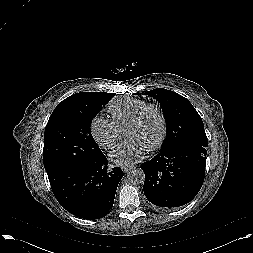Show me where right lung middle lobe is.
<instances>
[{
	"mask_svg": "<svg viewBox=\"0 0 253 253\" xmlns=\"http://www.w3.org/2000/svg\"><path fill=\"white\" fill-rule=\"evenodd\" d=\"M114 93L88 92L60 102L45 128L43 164L46 172L92 161L102 154L91 135V123Z\"/></svg>",
	"mask_w": 253,
	"mask_h": 253,
	"instance_id": "obj_1",
	"label": "right lung middle lobe"
}]
</instances>
